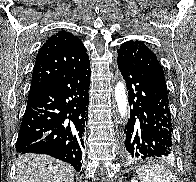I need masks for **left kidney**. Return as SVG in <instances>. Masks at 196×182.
<instances>
[{"instance_id": "obj_1", "label": "left kidney", "mask_w": 196, "mask_h": 182, "mask_svg": "<svg viewBox=\"0 0 196 182\" xmlns=\"http://www.w3.org/2000/svg\"><path fill=\"white\" fill-rule=\"evenodd\" d=\"M131 182H137L135 179H132Z\"/></svg>"}]
</instances>
